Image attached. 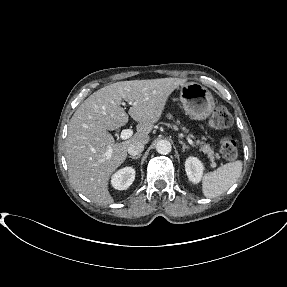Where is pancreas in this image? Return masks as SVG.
<instances>
[{
  "label": "pancreas",
  "mask_w": 287,
  "mask_h": 287,
  "mask_svg": "<svg viewBox=\"0 0 287 287\" xmlns=\"http://www.w3.org/2000/svg\"><path fill=\"white\" fill-rule=\"evenodd\" d=\"M167 117L169 119H173V116L171 114H167ZM183 130H184V132H187L186 128H183ZM197 144H199L201 146V150L205 154H207V156L210 159V161L212 162V166H213V162H214L215 157L219 158V155L214 153L213 149L210 147L209 144H205V143L200 142V141H197Z\"/></svg>",
  "instance_id": "obj_1"
}]
</instances>
